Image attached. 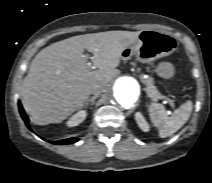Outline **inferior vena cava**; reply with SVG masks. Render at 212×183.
I'll return each instance as SVG.
<instances>
[{"mask_svg":"<svg viewBox=\"0 0 212 183\" xmlns=\"http://www.w3.org/2000/svg\"><path fill=\"white\" fill-rule=\"evenodd\" d=\"M104 87H105L104 84H95L92 87L91 94L100 95L102 93Z\"/></svg>","mask_w":212,"mask_h":183,"instance_id":"obj_1","label":"inferior vena cava"}]
</instances>
